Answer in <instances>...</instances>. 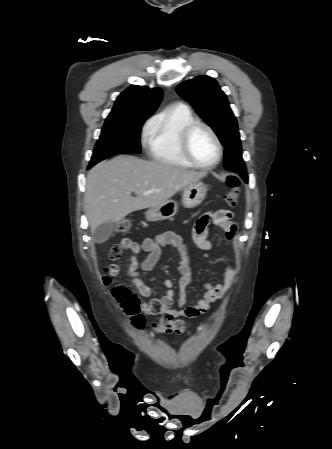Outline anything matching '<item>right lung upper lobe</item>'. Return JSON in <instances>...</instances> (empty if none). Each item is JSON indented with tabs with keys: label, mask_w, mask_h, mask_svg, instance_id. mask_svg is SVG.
<instances>
[{
	"label": "right lung upper lobe",
	"mask_w": 332,
	"mask_h": 449,
	"mask_svg": "<svg viewBox=\"0 0 332 449\" xmlns=\"http://www.w3.org/2000/svg\"><path fill=\"white\" fill-rule=\"evenodd\" d=\"M162 100L160 88L149 89L147 86H131L116 99L115 105L107 118L148 116L156 110Z\"/></svg>",
	"instance_id": "obj_1"
}]
</instances>
